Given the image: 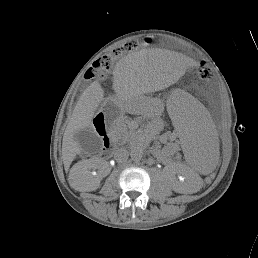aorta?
<instances>
[{
	"mask_svg": "<svg viewBox=\"0 0 258 258\" xmlns=\"http://www.w3.org/2000/svg\"><path fill=\"white\" fill-rule=\"evenodd\" d=\"M130 155L135 162H139L142 158V152L138 149H132Z\"/></svg>",
	"mask_w": 258,
	"mask_h": 258,
	"instance_id": "1",
	"label": "aorta"
}]
</instances>
